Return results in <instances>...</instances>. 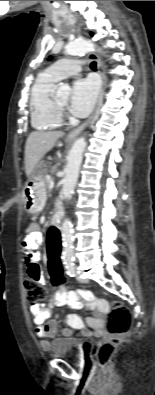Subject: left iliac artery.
Masks as SVG:
<instances>
[{"instance_id":"44dca946","label":"left iliac artery","mask_w":155,"mask_h":395,"mask_svg":"<svg viewBox=\"0 0 155 395\" xmlns=\"http://www.w3.org/2000/svg\"><path fill=\"white\" fill-rule=\"evenodd\" d=\"M66 272L70 277L75 276V259L73 257L67 258L64 261Z\"/></svg>"}]
</instances>
